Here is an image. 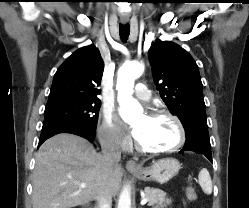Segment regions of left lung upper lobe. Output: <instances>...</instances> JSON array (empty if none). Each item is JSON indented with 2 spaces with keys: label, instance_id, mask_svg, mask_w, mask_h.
Listing matches in <instances>:
<instances>
[{
  "label": "left lung upper lobe",
  "instance_id": "1",
  "mask_svg": "<svg viewBox=\"0 0 249 208\" xmlns=\"http://www.w3.org/2000/svg\"><path fill=\"white\" fill-rule=\"evenodd\" d=\"M152 75L169 111L179 117L186 137L208 134L203 85L194 59L179 45L156 40L148 51Z\"/></svg>",
  "mask_w": 249,
  "mask_h": 208
}]
</instances>
